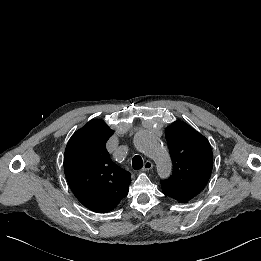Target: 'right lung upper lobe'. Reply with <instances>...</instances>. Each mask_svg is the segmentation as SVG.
Listing matches in <instances>:
<instances>
[{
    "label": "right lung upper lobe",
    "mask_w": 261,
    "mask_h": 261,
    "mask_svg": "<svg viewBox=\"0 0 261 261\" xmlns=\"http://www.w3.org/2000/svg\"><path fill=\"white\" fill-rule=\"evenodd\" d=\"M100 119L76 131L65 149L64 172L81 204L96 213L113 210L127 195L130 173L116 165L106 150L113 134Z\"/></svg>",
    "instance_id": "obj_1"
}]
</instances>
